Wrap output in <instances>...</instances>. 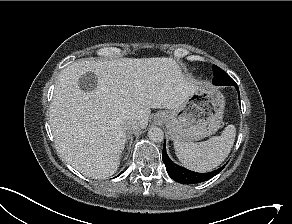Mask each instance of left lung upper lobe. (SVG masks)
Masks as SVG:
<instances>
[{"label":"left lung upper lobe","instance_id":"obj_1","mask_svg":"<svg viewBox=\"0 0 292 224\" xmlns=\"http://www.w3.org/2000/svg\"><path fill=\"white\" fill-rule=\"evenodd\" d=\"M213 73H214L213 83L215 85H221L220 83L228 81L226 80L227 73L216 65H213Z\"/></svg>","mask_w":292,"mask_h":224}]
</instances>
